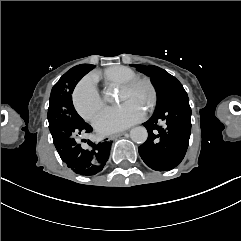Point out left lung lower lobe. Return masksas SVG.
Returning a JSON list of instances; mask_svg holds the SVG:
<instances>
[{
	"mask_svg": "<svg viewBox=\"0 0 241 241\" xmlns=\"http://www.w3.org/2000/svg\"><path fill=\"white\" fill-rule=\"evenodd\" d=\"M191 108L187 93L178 94L155 110L143 125L148 139L139 146L145 164L156 171H168L184 158L191 133ZM164 121L166 126L158 123Z\"/></svg>",
	"mask_w": 241,
	"mask_h": 241,
	"instance_id": "left-lung-lower-lobe-1",
	"label": "left lung lower lobe"
}]
</instances>
